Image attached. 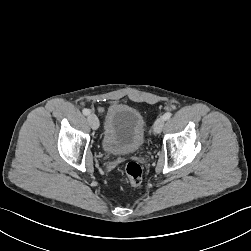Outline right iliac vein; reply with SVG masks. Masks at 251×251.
Returning <instances> with one entry per match:
<instances>
[{"instance_id": "63e3f726", "label": "right iliac vein", "mask_w": 251, "mask_h": 251, "mask_svg": "<svg viewBox=\"0 0 251 251\" xmlns=\"http://www.w3.org/2000/svg\"><path fill=\"white\" fill-rule=\"evenodd\" d=\"M92 129L97 130L99 127V120L95 114H90L87 118Z\"/></svg>"}]
</instances>
